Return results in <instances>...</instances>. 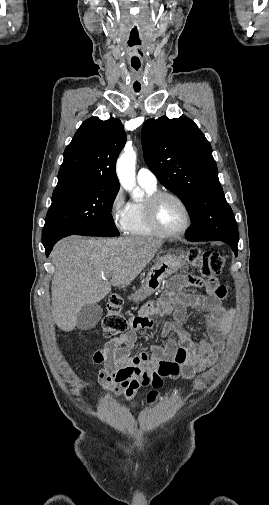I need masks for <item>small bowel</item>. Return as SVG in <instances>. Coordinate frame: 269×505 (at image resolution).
<instances>
[{
  "mask_svg": "<svg viewBox=\"0 0 269 505\" xmlns=\"http://www.w3.org/2000/svg\"><path fill=\"white\" fill-rule=\"evenodd\" d=\"M178 276L169 285L167 298H157L156 312L173 315V324H158L151 318L153 305H145L138 315L131 318V329L108 342L93 356V362L102 365L98 377L101 384L113 394H123L131 400L137 389L151 383L153 373L163 377L192 379L197 373L212 366L224 345L233 318V310L223 305L226 288L218 281H205L202 274ZM203 280H201V279ZM204 287L206 295H180L183 287ZM188 306L204 312L203 323L207 338L194 340L184 329ZM141 329H157L162 336L173 330L179 333L177 341L165 347L154 348L151 353L131 355L136 342V332Z\"/></svg>",
  "mask_w": 269,
  "mask_h": 505,
  "instance_id": "small-bowel-1",
  "label": "small bowel"
}]
</instances>
